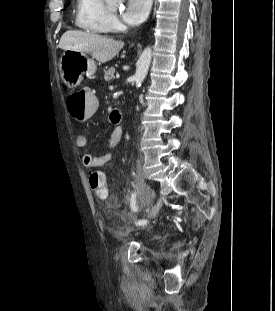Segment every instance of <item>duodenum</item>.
I'll list each match as a JSON object with an SVG mask.
<instances>
[{"mask_svg":"<svg viewBox=\"0 0 275 311\" xmlns=\"http://www.w3.org/2000/svg\"><path fill=\"white\" fill-rule=\"evenodd\" d=\"M112 113H119V111L113 110V111L111 112V114H112Z\"/></svg>","mask_w":275,"mask_h":311,"instance_id":"1","label":"duodenum"}]
</instances>
